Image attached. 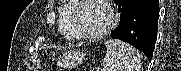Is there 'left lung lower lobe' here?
I'll return each instance as SVG.
<instances>
[{
  "label": "left lung lower lobe",
  "instance_id": "0a47b994",
  "mask_svg": "<svg viewBox=\"0 0 181 71\" xmlns=\"http://www.w3.org/2000/svg\"><path fill=\"white\" fill-rule=\"evenodd\" d=\"M120 24L111 37L120 39L152 59L159 17V0H119Z\"/></svg>",
  "mask_w": 181,
  "mask_h": 71
}]
</instances>
